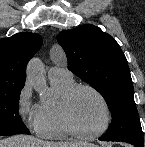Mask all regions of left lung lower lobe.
<instances>
[{
    "instance_id": "obj_1",
    "label": "left lung lower lobe",
    "mask_w": 145,
    "mask_h": 147,
    "mask_svg": "<svg viewBox=\"0 0 145 147\" xmlns=\"http://www.w3.org/2000/svg\"><path fill=\"white\" fill-rule=\"evenodd\" d=\"M99 140H102V141H114V140H107L103 136L100 137ZM127 143H130V144L134 145L135 147H143V143H137V142H127Z\"/></svg>"
}]
</instances>
